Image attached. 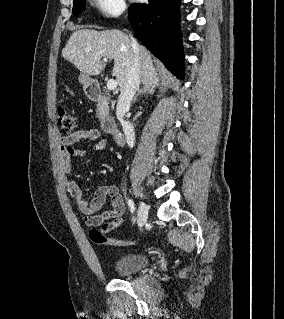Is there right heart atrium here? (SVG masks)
I'll use <instances>...</instances> for the list:
<instances>
[{
  "label": "right heart atrium",
  "instance_id": "right-heart-atrium-1",
  "mask_svg": "<svg viewBox=\"0 0 284 319\" xmlns=\"http://www.w3.org/2000/svg\"><path fill=\"white\" fill-rule=\"evenodd\" d=\"M97 12L106 19L117 18L127 10L125 0H91Z\"/></svg>",
  "mask_w": 284,
  "mask_h": 319
}]
</instances>
